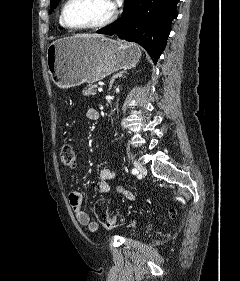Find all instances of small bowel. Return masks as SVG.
<instances>
[{
	"label": "small bowel",
	"instance_id": "c3829d8e",
	"mask_svg": "<svg viewBox=\"0 0 240 281\" xmlns=\"http://www.w3.org/2000/svg\"><path fill=\"white\" fill-rule=\"evenodd\" d=\"M86 117L89 120H97L99 118V113L95 109H89L86 112ZM115 177L113 170L109 168H103L99 172V181L97 182L96 188L100 194H108L111 191L110 181ZM116 191L118 194L124 196L128 200L133 201L135 199L134 195L123 186H117ZM69 203L74 212L76 220L79 224L86 226L87 230L94 233L98 230V224L91 221L88 212L84 208L83 204V194L79 190H74L69 194Z\"/></svg>",
	"mask_w": 240,
	"mask_h": 281
}]
</instances>
